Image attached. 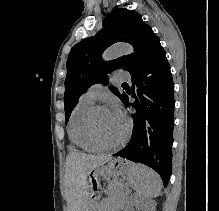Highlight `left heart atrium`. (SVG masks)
Masks as SVG:
<instances>
[{
	"label": "left heart atrium",
	"mask_w": 219,
	"mask_h": 211,
	"mask_svg": "<svg viewBox=\"0 0 219 211\" xmlns=\"http://www.w3.org/2000/svg\"><path fill=\"white\" fill-rule=\"evenodd\" d=\"M108 109L117 121L123 122V123L125 122L121 107L117 101L115 100L112 101Z\"/></svg>",
	"instance_id": "obj_1"
}]
</instances>
